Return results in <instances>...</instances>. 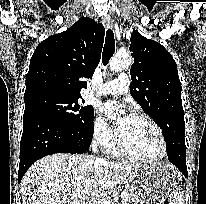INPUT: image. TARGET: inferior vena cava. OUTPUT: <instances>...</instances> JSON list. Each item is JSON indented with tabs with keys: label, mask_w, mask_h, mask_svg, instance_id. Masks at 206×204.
<instances>
[{
	"label": "inferior vena cava",
	"mask_w": 206,
	"mask_h": 204,
	"mask_svg": "<svg viewBox=\"0 0 206 204\" xmlns=\"http://www.w3.org/2000/svg\"><path fill=\"white\" fill-rule=\"evenodd\" d=\"M91 148H92V151L94 153L98 152V140H97V138H95L93 140ZM99 203H100V201L97 198H92L91 201H90V204H99Z\"/></svg>",
	"instance_id": "obj_1"
}]
</instances>
